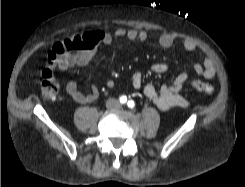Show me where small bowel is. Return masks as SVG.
Here are the masks:
<instances>
[{"instance_id":"c3829d8e","label":"small bowel","mask_w":245,"mask_h":187,"mask_svg":"<svg viewBox=\"0 0 245 187\" xmlns=\"http://www.w3.org/2000/svg\"><path fill=\"white\" fill-rule=\"evenodd\" d=\"M88 49L69 54L57 61V68L66 70L72 66H84L90 63L95 54L98 45L109 46L115 39L125 38L136 43H144L148 40L149 35L144 30L117 28L112 32L102 30H92L86 34ZM180 38L174 34L163 33L159 37V44L163 48L171 47ZM183 45L185 49L196 57L200 56L196 43L191 39H184ZM51 59V51L48 54ZM169 67L166 63H156L151 67V71L155 74H163L168 71ZM216 73L215 65L211 58H205L202 62L197 61L190 71H185L176 76L170 85L157 87L152 83L143 85V77L140 73H133L130 77L132 87L143 88L144 95L160 110L167 111L174 107H186L189 105L188 99L180 94L188 79L192 74L201 75L207 79L213 78ZM113 83L108 82L107 86L112 87ZM66 93L76 102L88 104L96 100L99 96V90L92 87L89 93L79 90L76 81H69L66 84Z\"/></svg>"}]
</instances>
